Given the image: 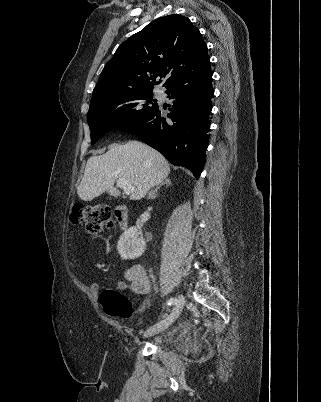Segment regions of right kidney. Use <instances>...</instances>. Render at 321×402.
<instances>
[{"label":"right kidney","instance_id":"1","mask_svg":"<svg viewBox=\"0 0 321 402\" xmlns=\"http://www.w3.org/2000/svg\"><path fill=\"white\" fill-rule=\"evenodd\" d=\"M117 250L122 259H135L145 251V241L142 233L136 227H130L120 237Z\"/></svg>","mask_w":321,"mask_h":402}]
</instances>
